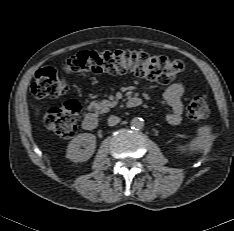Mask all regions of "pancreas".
<instances>
[{"label":"pancreas","mask_w":234,"mask_h":231,"mask_svg":"<svg viewBox=\"0 0 234 231\" xmlns=\"http://www.w3.org/2000/svg\"><path fill=\"white\" fill-rule=\"evenodd\" d=\"M118 102L117 101H109L103 100L101 102L93 101L90 103V107L99 113L109 112L110 108L114 107Z\"/></svg>","instance_id":"obj_1"}]
</instances>
